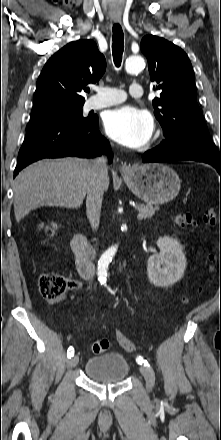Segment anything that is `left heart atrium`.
<instances>
[{"instance_id": "left-heart-atrium-1", "label": "left heart atrium", "mask_w": 221, "mask_h": 440, "mask_svg": "<svg viewBox=\"0 0 221 440\" xmlns=\"http://www.w3.org/2000/svg\"><path fill=\"white\" fill-rule=\"evenodd\" d=\"M107 135L116 142L131 148L144 145L153 131V121L148 112L132 106L110 111L104 121Z\"/></svg>"}]
</instances>
